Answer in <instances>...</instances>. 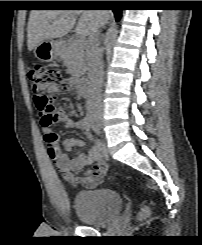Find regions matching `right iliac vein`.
I'll use <instances>...</instances> for the list:
<instances>
[{
    "instance_id": "right-iliac-vein-1",
    "label": "right iliac vein",
    "mask_w": 202,
    "mask_h": 245,
    "mask_svg": "<svg viewBox=\"0 0 202 245\" xmlns=\"http://www.w3.org/2000/svg\"><path fill=\"white\" fill-rule=\"evenodd\" d=\"M101 126H102V123H101L100 121L94 122V127H95L96 129L101 128Z\"/></svg>"
}]
</instances>
